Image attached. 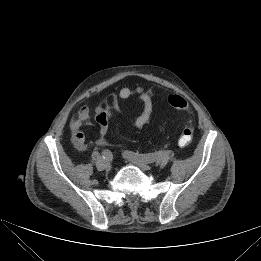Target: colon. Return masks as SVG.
Wrapping results in <instances>:
<instances>
[{
  "instance_id": "5ec220e1",
  "label": "colon",
  "mask_w": 261,
  "mask_h": 261,
  "mask_svg": "<svg viewBox=\"0 0 261 261\" xmlns=\"http://www.w3.org/2000/svg\"><path fill=\"white\" fill-rule=\"evenodd\" d=\"M170 106L178 110H187V102L179 95H170L167 99ZM193 127L191 124L186 125L179 136L178 143L180 146H187L193 139Z\"/></svg>"
}]
</instances>
